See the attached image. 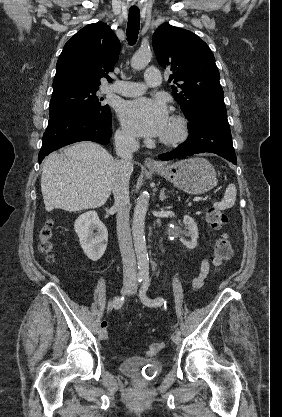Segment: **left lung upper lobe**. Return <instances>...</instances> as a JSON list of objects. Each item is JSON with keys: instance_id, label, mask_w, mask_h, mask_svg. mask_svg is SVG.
I'll return each mask as SVG.
<instances>
[{"instance_id": "1", "label": "left lung upper lobe", "mask_w": 282, "mask_h": 417, "mask_svg": "<svg viewBox=\"0 0 282 417\" xmlns=\"http://www.w3.org/2000/svg\"><path fill=\"white\" fill-rule=\"evenodd\" d=\"M158 63L173 71V96L190 120L193 110L206 104H224L215 58L208 45L191 31L163 23L153 34Z\"/></svg>"}]
</instances>
